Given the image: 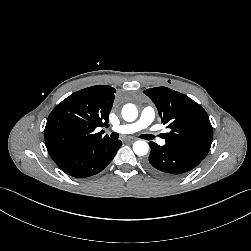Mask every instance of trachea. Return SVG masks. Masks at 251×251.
I'll return each instance as SVG.
<instances>
[{
  "label": "trachea",
  "mask_w": 251,
  "mask_h": 251,
  "mask_svg": "<svg viewBox=\"0 0 251 251\" xmlns=\"http://www.w3.org/2000/svg\"><path fill=\"white\" fill-rule=\"evenodd\" d=\"M111 138L112 139H118L119 138V134L118 133H112L111 134ZM141 138L146 139V140H152L153 136L148 135V134H143V135H141Z\"/></svg>",
  "instance_id": "3493384b"
}]
</instances>
